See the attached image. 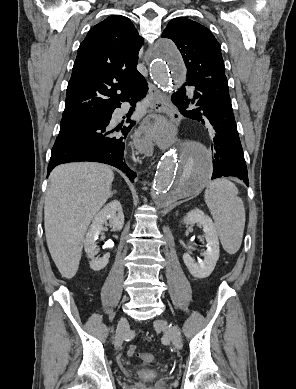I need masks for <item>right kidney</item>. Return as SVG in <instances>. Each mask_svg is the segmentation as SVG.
Masks as SVG:
<instances>
[{"instance_id":"obj_1","label":"right kidney","mask_w":296,"mask_h":389,"mask_svg":"<svg viewBox=\"0 0 296 389\" xmlns=\"http://www.w3.org/2000/svg\"><path fill=\"white\" fill-rule=\"evenodd\" d=\"M109 222V225L114 231H120L124 225V214L122 206L118 200H113L103 207L94 217L92 224L86 234L84 240V249L90 261V268L94 271L102 270L109 262V254H105L102 258H95L96 255V240L99 234L104 229V224Z\"/></svg>"}]
</instances>
